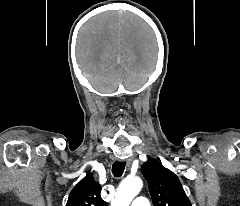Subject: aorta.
<instances>
[{"instance_id": "762f6f07", "label": "aorta", "mask_w": 240, "mask_h": 206, "mask_svg": "<svg viewBox=\"0 0 240 206\" xmlns=\"http://www.w3.org/2000/svg\"><path fill=\"white\" fill-rule=\"evenodd\" d=\"M143 182L139 177H127L118 186L112 206H129L141 191Z\"/></svg>"}]
</instances>
